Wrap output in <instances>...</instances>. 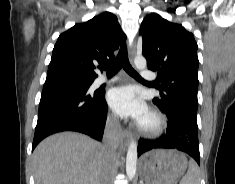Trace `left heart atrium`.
Returning a JSON list of instances; mask_svg holds the SVG:
<instances>
[{
  "label": "left heart atrium",
  "mask_w": 235,
  "mask_h": 184,
  "mask_svg": "<svg viewBox=\"0 0 235 184\" xmlns=\"http://www.w3.org/2000/svg\"><path fill=\"white\" fill-rule=\"evenodd\" d=\"M107 101L116 116H129L138 125L149 113L143 100L128 88L112 89L108 93Z\"/></svg>",
  "instance_id": "39dd6f15"
}]
</instances>
